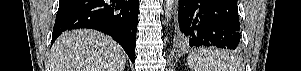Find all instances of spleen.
<instances>
[{
  "instance_id": "3e777b00",
  "label": "spleen",
  "mask_w": 301,
  "mask_h": 71,
  "mask_svg": "<svg viewBox=\"0 0 301 71\" xmlns=\"http://www.w3.org/2000/svg\"><path fill=\"white\" fill-rule=\"evenodd\" d=\"M187 63L193 71H240L236 57L224 50L194 51L188 55Z\"/></svg>"
}]
</instances>
